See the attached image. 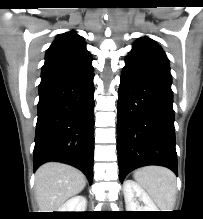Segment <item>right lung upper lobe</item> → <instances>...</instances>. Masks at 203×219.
I'll use <instances>...</instances> for the list:
<instances>
[{
	"label": "right lung upper lobe",
	"instance_id": "obj_1",
	"mask_svg": "<svg viewBox=\"0 0 203 219\" xmlns=\"http://www.w3.org/2000/svg\"><path fill=\"white\" fill-rule=\"evenodd\" d=\"M91 59L85 41L72 30L57 36L46 52L43 68L83 63Z\"/></svg>",
	"mask_w": 203,
	"mask_h": 219
}]
</instances>
